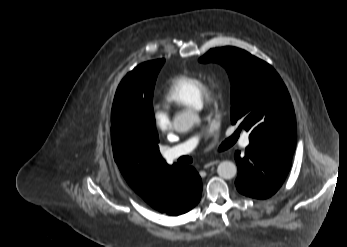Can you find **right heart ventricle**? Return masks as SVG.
I'll list each match as a JSON object with an SVG mask.
<instances>
[{"label": "right heart ventricle", "mask_w": 347, "mask_h": 247, "mask_svg": "<svg viewBox=\"0 0 347 247\" xmlns=\"http://www.w3.org/2000/svg\"><path fill=\"white\" fill-rule=\"evenodd\" d=\"M203 80L191 74L172 77L164 91L163 101L171 106L199 108L202 104Z\"/></svg>", "instance_id": "e07e8e85"}]
</instances>
